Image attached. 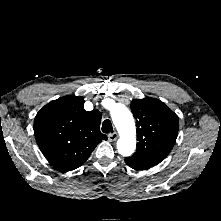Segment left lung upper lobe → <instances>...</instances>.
Here are the masks:
<instances>
[{"label":"left lung upper lobe","mask_w":221,"mask_h":221,"mask_svg":"<svg viewBox=\"0 0 221 221\" xmlns=\"http://www.w3.org/2000/svg\"><path fill=\"white\" fill-rule=\"evenodd\" d=\"M131 110L137 123V150L125 161L144 168L160 163L172 150L178 134V116L155 98L135 99Z\"/></svg>","instance_id":"1"}]
</instances>
